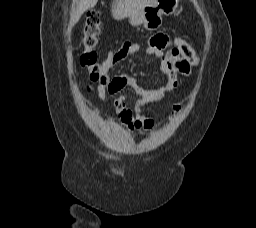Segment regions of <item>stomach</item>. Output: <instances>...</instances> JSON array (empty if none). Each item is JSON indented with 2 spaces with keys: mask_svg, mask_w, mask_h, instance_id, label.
<instances>
[{
  "mask_svg": "<svg viewBox=\"0 0 256 228\" xmlns=\"http://www.w3.org/2000/svg\"><path fill=\"white\" fill-rule=\"evenodd\" d=\"M179 0H153L137 13L130 16L133 26L143 25L148 30H155L162 25V15H171L178 7Z\"/></svg>",
  "mask_w": 256,
  "mask_h": 228,
  "instance_id": "1",
  "label": "stomach"
}]
</instances>
